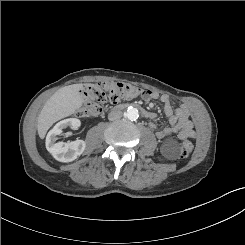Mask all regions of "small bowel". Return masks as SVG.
<instances>
[{"label":"small bowel","mask_w":245,"mask_h":245,"mask_svg":"<svg viewBox=\"0 0 245 245\" xmlns=\"http://www.w3.org/2000/svg\"><path fill=\"white\" fill-rule=\"evenodd\" d=\"M142 97L145 100L159 99L164 104V112L169 122L168 126L157 129L154 122L150 124V127L156 130L157 138L163 139L171 134H177L182 140L195 138L196 133L186 106L179 105L175 107L168 95L154 91H147ZM155 117V114L152 113L150 119L154 120Z\"/></svg>","instance_id":"obj_1"}]
</instances>
